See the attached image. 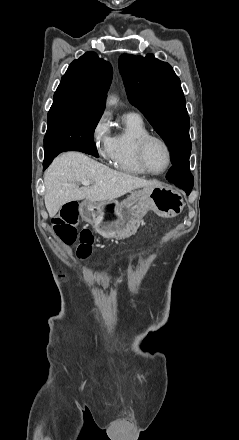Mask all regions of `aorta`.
I'll use <instances>...</instances> for the list:
<instances>
[{
    "label": "aorta",
    "mask_w": 239,
    "mask_h": 440,
    "mask_svg": "<svg viewBox=\"0 0 239 440\" xmlns=\"http://www.w3.org/2000/svg\"><path fill=\"white\" fill-rule=\"evenodd\" d=\"M107 104H109V106H113V104H117L116 98H114V96H109L107 100Z\"/></svg>",
    "instance_id": "obj_1"
}]
</instances>
